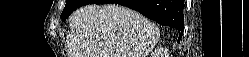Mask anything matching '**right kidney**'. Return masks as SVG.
Wrapping results in <instances>:
<instances>
[{
    "instance_id": "1",
    "label": "right kidney",
    "mask_w": 249,
    "mask_h": 57,
    "mask_svg": "<svg viewBox=\"0 0 249 57\" xmlns=\"http://www.w3.org/2000/svg\"><path fill=\"white\" fill-rule=\"evenodd\" d=\"M164 55H165V53H163V52H161V51H160V52L158 51V52L155 53L154 56H155V57H164Z\"/></svg>"
}]
</instances>
